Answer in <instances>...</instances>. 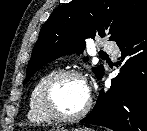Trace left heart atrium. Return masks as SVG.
I'll return each mask as SVG.
<instances>
[{
	"instance_id": "39dd6f15",
	"label": "left heart atrium",
	"mask_w": 147,
	"mask_h": 131,
	"mask_svg": "<svg viewBox=\"0 0 147 131\" xmlns=\"http://www.w3.org/2000/svg\"><path fill=\"white\" fill-rule=\"evenodd\" d=\"M85 88H86V92H87L88 97H90L91 88H90V86H89V84L87 82H85Z\"/></svg>"
}]
</instances>
